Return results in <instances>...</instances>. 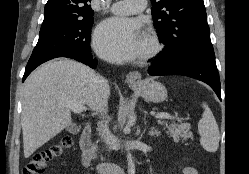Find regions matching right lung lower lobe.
<instances>
[{
    "instance_id": "right-lung-lower-lobe-1",
    "label": "right lung lower lobe",
    "mask_w": 249,
    "mask_h": 174,
    "mask_svg": "<svg viewBox=\"0 0 249 174\" xmlns=\"http://www.w3.org/2000/svg\"><path fill=\"white\" fill-rule=\"evenodd\" d=\"M56 57L72 58V59L80 61V62H82V63H84L92 68H95L97 65V61L92 58V54L90 52H88V53H86V52H81V53H71V52L48 53V54L42 55L41 57H39L33 61H28V64L26 66L22 81H24L26 79V77L37 66H39L40 64H42L50 59L56 58Z\"/></svg>"
}]
</instances>
